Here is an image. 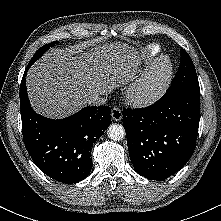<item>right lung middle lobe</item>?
Instances as JSON below:
<instances>
[{
  "mask_svg": "<svg viewBox=\"0 0 221 221\" xmlns=\"http://www.w3.org/2000/svg\"><path fill=\"white\" fill-rule=\"evenodd\" d=\"M58 41H54L50 44H46L43 47H41L33 56V58L30 60L29 63L33 64L37 59H39L46 51L47 49H49L50 47L54 46L55 44H57Z\"/></svg>",
  "mask_w": 221,
  "mask_h": 221,
  "instance_id": "dd1d6c3e",
  "label": "right lung middle lobe"
}]
</instances>
